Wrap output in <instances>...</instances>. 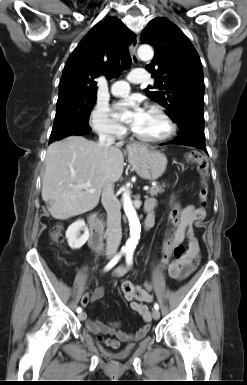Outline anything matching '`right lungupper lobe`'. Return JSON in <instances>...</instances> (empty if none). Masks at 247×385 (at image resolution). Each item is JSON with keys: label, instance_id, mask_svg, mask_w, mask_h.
Here are the masks:
<instances>
[{"label": "right lung upper lobe", "instance_id": "1", "mask_svg": "<svg viewBox=\"0 0 247 385\" xmlns=\"http://www.w3.org/2000/svg\"><path fill=\"white\" fill-rule=\"evenodd\" d=\"M134 38L135 34L117 17L109 16L97 23L68 58L59 94H96L94 79L100 74L112 78L119 72L121 48Z\"/></svg>", "mask_w": 247, "mask_h": 385}]
</instances>
